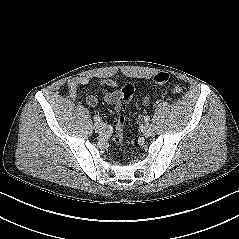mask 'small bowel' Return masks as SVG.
<instances>
[{"mask_svg": "<svg viewBox=\"0 0 239 239\" xmlns=\"http://www.w3.org/2000/svg\"><path fill=\"white\" fill-rule=\"evenodd\" d=\"M88 77H76L70 80L69 89L70 95L72 97H77V91L80 87L86 86L89 84ZM99 87L103 95L104 101L114 107V109L119 112L121 109V92L116 90L118 88V82L112 79H106L99 82ZM110 89H114L110 91ZM86 103L89 107H95L98 103V99L95 95H89L86 98ZM98 117V116H97Z\"/></svg>", "mask_w": 239, "mask_h": 239, "instance_id": "small-bowel-1", "label": "small bowel"}]
</instances>
